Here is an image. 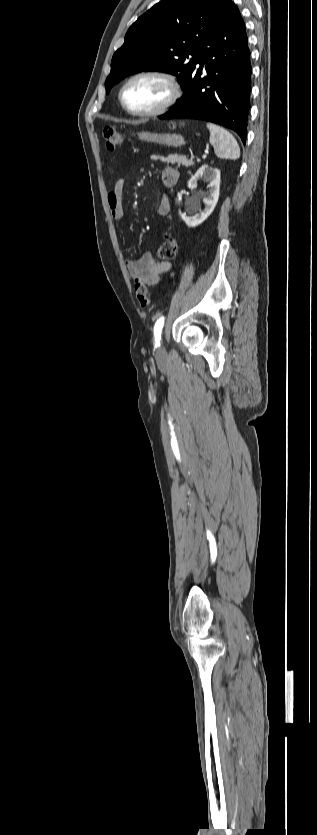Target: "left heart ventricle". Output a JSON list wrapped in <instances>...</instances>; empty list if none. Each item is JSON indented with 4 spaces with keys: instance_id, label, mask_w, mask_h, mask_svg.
Returning <instances> with one entry per match:
<instances>
[{
    "instance_id": "left-heart-ventricle-1",
    "label": "left heart ventricle",
    "mask_w": 317,
    "mask_h": 835,
    "mask_svg": "<svg viewBox=\"0 0 317 835\" xmlns=\"http://www.w3.org/2000/svg\"><path fill=\"white\" fill-rule=\"evenodd\" d=\"M168 96L167 86L152 77L131 82L123 93L126 105L135 111H148L158 107Z\"/></svg>"
}]
</instances>
